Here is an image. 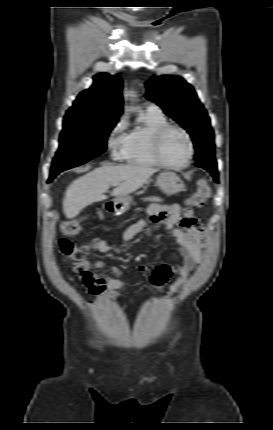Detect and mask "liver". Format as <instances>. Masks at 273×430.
Segmentation results:
<instances>
[{
	"instance_id": "1",
	"label": "liver",
	"mask_w": 273,
	"mask_h": 430,
	"mask_svg": "<svg viewBox=\"0 0 273 430\" xmlns=\"http://www.w3.org/2000/svg\"><path fill=\"white\" fill-rule=\"evenodd\" d=\"M156 169L144 165H103L74 180L67 188L63 210L67 218L76 217L86 206L107 199L110 186H117L113 196H124L142 187Z\"/></svg>"
}]
</instances>
